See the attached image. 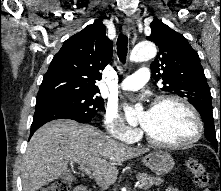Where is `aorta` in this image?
<instances>
[{"instance_id": "1", "label": "aorta", "mask_w": 221, "mask_h": 191, "mask_svg": "<svg viewBox=\"0 0 221 191\" xmlns=\"http://www.w3.org/2000/svg\"><path fill=\"white\" fill-rule=\"evenodd\" d=\"M157 49L152 42H141L135 46L130 54V61H147L156 56ZM125 117L128 122L135 120L141 112V107H124Z\"/></svg>"}]
</instances>
